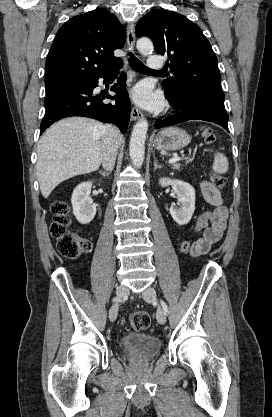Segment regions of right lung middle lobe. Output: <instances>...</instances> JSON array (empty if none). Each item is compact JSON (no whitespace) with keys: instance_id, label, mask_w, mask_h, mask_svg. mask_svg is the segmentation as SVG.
Listing matches in <instances>:
<instances>
[{"instance_id":"obj_1","label":"right lung middle lobe","mask_w":272,"mask_h":417,"mask_svg":"<svg viewBox=\"0 0 272 417\" xmlns=\"http://www.w3.org/2000/svg\"><path fill=\"white\" fill-rule=\"evenodd\" d=\"M65 86H67V85H65ZM61 87H64V86H61ZM61 87H58V88H61ZM58 88H49V89H46V96L49 95V94H51L54 90H56Z\"/></svg>"}]
</instances>
